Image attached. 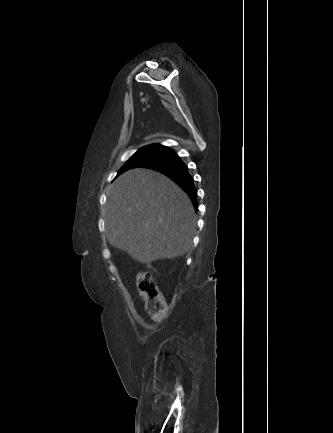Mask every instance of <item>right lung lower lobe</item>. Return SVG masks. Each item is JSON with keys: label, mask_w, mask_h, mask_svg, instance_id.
Wrapping results in <instances>:
<instances>
[{"label": "right lung lower lobe", "mask_w": 333, "mask_h": 433, "mask_svg": "<svg viewBox=\"0 0 333 433\" xmlns=\"http://www.w3.org/2000/svg\"><path fill=\"white\" fill-rule=\"evenodd\" d=\"M140 167H146L158 170L165 174L175 183H177L185 192L188 193L190 199L193 202L195 209L197 210V195L196 188L193 183V178L189 174L187 167L180 157L176 155L174 151L166 156H163L155 161L143 164Z\"/></svg>", "instance_id": "right-lung-lower-lobe-1"}]
</instances>
